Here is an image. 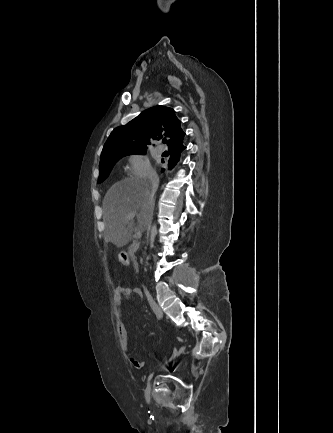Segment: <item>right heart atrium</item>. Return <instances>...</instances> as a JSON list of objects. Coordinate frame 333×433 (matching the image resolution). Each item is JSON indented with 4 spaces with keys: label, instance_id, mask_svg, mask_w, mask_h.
Wrapping results in <instances>:
<instances>
[{
    "label": "right heart atrium",
    "instance_id": "d8ad5b80",
    "mask_svg": "<svg viewBox=\"0 0 333 433\" xmlns=\"http://www.w3.org/2000/svg\"><path fill=\"white\" fill-rule=\"evenodd\" d=\"M127 172L133 177H149L153 170L149 158L140 152L131 153L126 158Z\"/></svg>",
    "mask_w": 333,
    "mask_h": 433
}]
</instances>
